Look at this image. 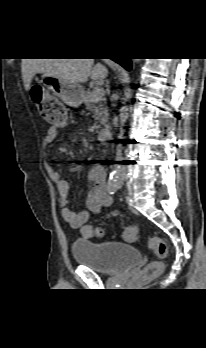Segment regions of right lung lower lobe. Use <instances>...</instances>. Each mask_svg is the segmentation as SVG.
I'll return each instance as SVG.
<instances>
[{
  "instance_id": "98d812e1",
  "label": "right lung lower lobe",
  "mask_w": 206,
  "mask_h": 348,
  "mask_svg": "<svg viewBox=\"0 0 206 348\" xmlns=\"http://www.w3.org/2000/svg\"><path fill=\"white\" fill-rule=\"evenodd\" d=\"M115 62L119 63L121 66H123L126 70L131 69V60L128 58H119V59H113Z\"/></svg>"
}]
</instances>
